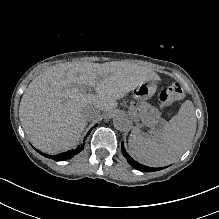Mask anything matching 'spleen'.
Here are the masks:
<instances>
[{"instance_id": "obj_1", "label": "spleen", "mask_w": 219, "mask_h": 219, "mask_svg": "<svg viewBox=\"0 0 219 219\" xmlns=\"http://www.w3.org/2000/svg\"><path fill=\"white\" fill-rule=\"evenodd\" d=\"M196 127L194 105L191 101H186L179 113L156 136L144 137L139 129H133L128 138L130 154L145 166H166L188 149Z\"/></svg>"}]
</instances>
